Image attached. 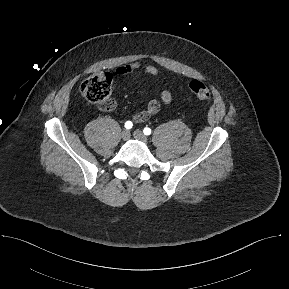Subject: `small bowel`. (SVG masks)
<instances>
[{
	"label": "small bowel",
	"mask_w": 289,
	"mask_h": 289,
	"mask_svg": "<svg viewBox=\"0 0 289 289\" xmlns=\"http://www.w3.org/2000/svg\"><path fill=\"white\" fill-rule=\"evenodd\" d=\"M140 68H142L143 71L148 75H151L153 77L159 76V71L155 66L153 65L142 66L140 62H134L130 65L120 67L117 69L116 73L118 75H128ZM160 100H161V103L163 104H169L172 101L171 92L167 89H163L160 92ZM160 106L161 104L158 100H150L147 103L145 109H143L142 111L138 112L137 114L133 116L134 122L142 123V122L147 121L150 117L154 116L155 114L159 112Z\"/></svg>",
	"instance_id": "1"
}]
</instances>
